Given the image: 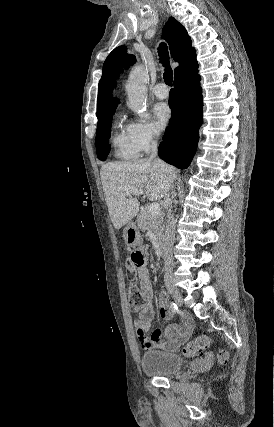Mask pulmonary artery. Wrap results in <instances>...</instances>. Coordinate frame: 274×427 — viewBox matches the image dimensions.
<instances>
[{"label": "pulmonary artery", "mask_w": 274, "mask_h": 427, "mask_svg": "<svg viewBox=\"0 0 274 427\" xmlns=\"http://www.w3.org/2000/svg\"><path fill=\"white\" fill-rule=\"evenodd\" d=\"M152 91L154 93V95L160 99H165L168 97L169 95V89L168 87L163 84V83H159L156 84L153 88Z\"/></svg>", "instance_id": "pulmonary-artery-1"}]
</instances>
